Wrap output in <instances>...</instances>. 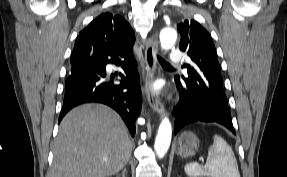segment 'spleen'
<instances>
[{"label":"spleen","mask_w":287,"mask_h":177,"mask_svg":"<svg viewBox=\"0 0 287 177\" xmlns=\"http://www.w3.org/2000/svg\"><path fill=\"white\" fill-rule=\"evenodd\" d=\"M184 171L189 177H240L232 148L218 135L213 137V145L208 150L206 164L188 163Z\"/></svg>","instance_id":"obj_1"}]
</instances>
